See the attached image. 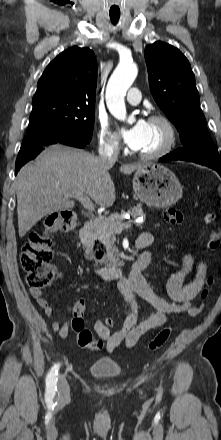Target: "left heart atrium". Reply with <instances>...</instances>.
Listing matches in <instances>:
<instances>
[{
	"label": "left heart atrium",
	"mask_w": 221,
	"mask_h": 440,
	"mask_svg": "<svg viewBox=\"0 0 221 440\" xmlns=\"http://www.w3.org/2000/svg\"><path fill=\"white\" fill-rule=\"evenodd\" d=\"M147 132L148 122L144 119H139L132 126L123 129V137L131 148L140 150L144 145Z\"/></svg>",
	"instance_id": "39dd6f15"
}]
</instances>
